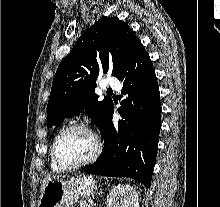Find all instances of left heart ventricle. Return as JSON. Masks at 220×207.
Returning <instances> with one entry per match:
<instances>
[{"mask_svg":"<svg viewBox=\"0 0 220 207\" xmlns=\"http://www.w3.org/2000/svg\"><path fill=\"white\" fill-rule=\"evenodd\" d=\"M94 150V141L84 131L65 133L57 144V155L63 164H74L87 159Z\"/></svg>","mask_w":220,"mask_h":207,"instance_id":"1","label":"left heart ventricle"}]
</instances>
